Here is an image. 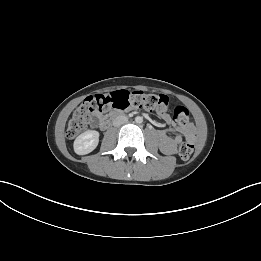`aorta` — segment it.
Segmentation results:
<instances>
[{"mask_svg": "<svg viewBox=\"0 0 261 261\" xmlns=\"http://www.w3.org/2000/svg\"><path fill=\"white\" fill-rule=\"evenodd\" d=\"M135 122L138 123V124H140V123L143 122V118H142L141 116H137V117L135 118Z\"/></svg>", "mask_w": 261, "mask_h": 261, "instance_id": "obj_1", "label": "aorta"}]
</instances>
